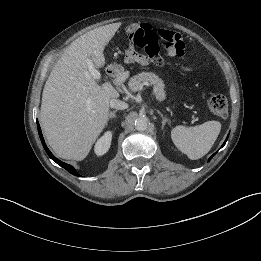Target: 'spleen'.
<instances>
[{
	"instance_id": "3e777b00",
	"label": "spleen",
	"mask_w": 261,
	"mask_h": 261,
	"mask_svg": "<svg viewBox=\"0 0 261 261\" xmlns=\"http://www.w3.org/2000/svg\"><path fill=\"white\" fill-rule=\"evenodd\" d=\"M220 130L221 124L218 121H207L193 127L179 125L172 129L171 138L181 152L196 160L210 151Z\"/></svg>"
}]
</instances>
